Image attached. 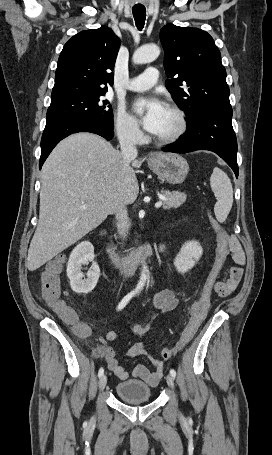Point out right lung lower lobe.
Instances as JSON below:
<instances>
[{"label": "right lung lower lobe", "instance_id": "obj_1", "mask_svg": "<svg viewBox=\"0 0 272 455\" xmlns=\"http://www.w3.org/2000/svg\"><path fill=\"white\" fill-rule=\"evenodd\" d=\"M78 132H91L111 140L114 136L113 127L93 119H72L46 124L41 139V169L53 148L65 137Z\"/></svg>", "mask_w": 272, "mask_h": 455}]
</instances>
